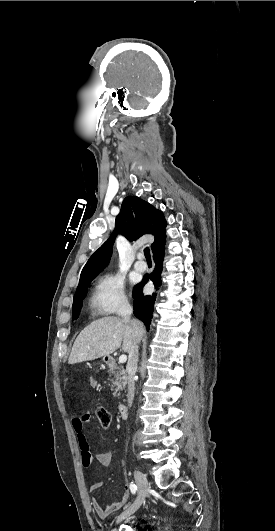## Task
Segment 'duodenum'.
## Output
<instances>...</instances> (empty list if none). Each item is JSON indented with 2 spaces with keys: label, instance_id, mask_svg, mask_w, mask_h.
<instances>
[{
  "label": "duodenum",
  "instance_id": "1",
  "mask_svg": "<svg viewBox=\"0 0 275 531\" xmlns=\"http://www.w3.org/2000/svg\"><path fill=\"white\" fill-rule=\"evenodd\" d=\"M105 361L110 367H115L116 361L113 356L109 355L105 357ZM119 413L121 417H126L127 415V405L125 403H121L119 405Z\"/></svg>",
  "mask_w": 275,
  "mask_h": 531
}]
</instances>
